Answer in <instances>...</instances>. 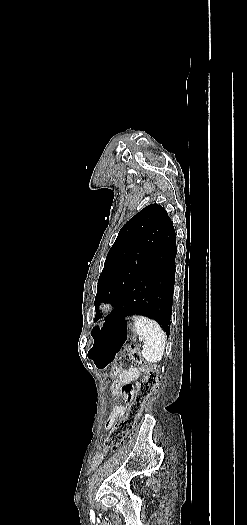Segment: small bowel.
<instances>
[{"mask_svg": "<svg viewBox=\"0 0 247 525\" xmlns=\"http://www.w3.org/2000/svg\"><path fill=\"white\" fill-rule=\"evenodd\" d=\"M140 376H141V370L138 368L133 367V368H129V369L122 371L119 374L118 378L113 382L112 387H111L112 391H114L115 389H118L120 386L124 384H130L131 382L138 379ZM124 413H125L124 406L120 404H116L113 407L109 415V418L106 423V427L110 428L120 417L124 415ZM105 456H106L105 451L96 452L92 459V467L97 468L101 464Z\"/></svg>", "mask_w": 247, "mask_h": 525, "instance_id": "small-bowel-1", "label": "small bowel"}]
</instances>
